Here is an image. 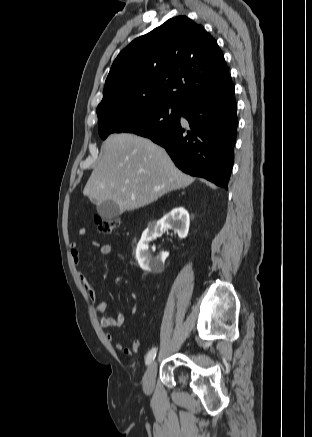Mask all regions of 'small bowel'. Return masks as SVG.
<instances>
[{
  "label": "small bowel",
  "mask_w": 312,
  "mask_h": 437,
  "mask_svg": "<svg viewBox=\"0 0 312 437\" xmlns=\"http://www.w3.org/2000/svg\"><path fill=\"white\" fill-rule=\"evenodd\" d=\"M78 233L80 236H84L86 234V230L84 228H81V229H79ZM93 245L99 249V253L101 256H108L113 252V246L110 244H100L99 242L95 241V242H93ZM70 254H71V258H72L73 263L77 266L80 265V261H81L80 251L78 249V245L76 242L70 243ZM78 276H79L84 288L86 289L90 300L94 303L95 311L97 313H104L106 310V303L97 300V293L83 272L79 271ZM124 320H125V317L123 314H118L116 316L104 314L100 318V326L103 329L119 327L124 323ZM105 339L109 343H112L114 341V336L112 333L107 332V333H105ZM139 345H140V343L138 340H134L132 342L131 346H124L122 343L117 342V343H115V348L119 351H122L123 353H125L128 356H132L137 352Z\"/></svg>",
  "instance_id": "obj_1"
}]
</instances>
